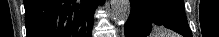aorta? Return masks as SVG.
Wrapping results in <instances>:
<instances>
[{"label": "aorta", "instance_id": "obj_1", "mask_svg": "<svg viewBox=\"0 0 219 37\" xmlns=\"http://www.w3.org/2000/svg\"><path fill=\"white\" fill-rule=\"evenodd\" d=\"M130 0H111L112 18L117 25H124L130 15Z\"/></svg>", "mask_w": 219, "mask_h": 37}]
</instances>
